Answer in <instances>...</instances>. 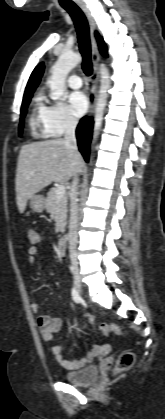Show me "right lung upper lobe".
<instances>
[{"label":"right lung upper lobe","instance_id":"right-lung-upper-lobe-1","mask_svg":"<svg viewBox=\"0 0 165 419\" xmlns=\"http://www.w3.org/2000/svg\"><path fill=\"white\" fill-rule=\"evenodd\" d=\"M96 37H98L97 32H95ZM44 71V65L43 63L39 64L34 71L32 72L29 81L27 83L26 89H25V93H24V97L23 99H26L30 96H32L34 90L36 89L37 85L40 82V79L42 77Z\"/></svg>","mask_w":165,"mask_h":419}]
</instances>
